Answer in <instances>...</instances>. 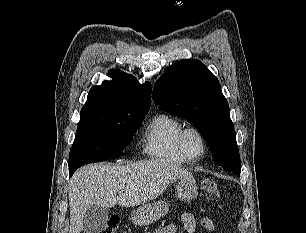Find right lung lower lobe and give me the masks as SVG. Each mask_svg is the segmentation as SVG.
<instances>
[{"mask_svg": "<svg viewBox=\"0 0 306 233\" xmlns=\"http://www.w3.org/2000/svg\"><path fill=\"white\" fill-rule=\"evenodd\" d=\"M74 173V171H69L70 176Z\"/></svg>", "mask_w": 306, "mask_h": 233, "instance_id": "98d812e1", "label": "right lung lower lobe"}]
</instances>
